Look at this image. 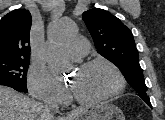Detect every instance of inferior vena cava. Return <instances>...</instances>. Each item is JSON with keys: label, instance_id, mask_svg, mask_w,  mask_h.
<instances>
[{"label": "inferior vena cava", "instance_id": "602c4592", "mask_svg": "<svg viewBox=\"0 0 165 120\" xmlns=\"http://www.w3.org/2000/svg\"><path fill=\"white\" fill-rule=\"evenodd\" d=\"M58 105L52 102H45V113H44V119L45 120H53L54 116L51 110H57Z\"/></svg>", "mask_w": 165, "mask_h": 120}]
</instances>
